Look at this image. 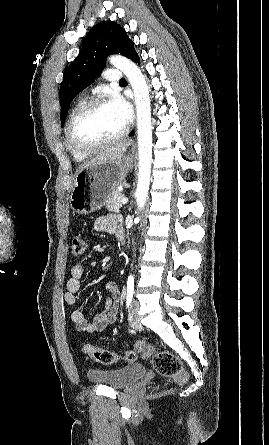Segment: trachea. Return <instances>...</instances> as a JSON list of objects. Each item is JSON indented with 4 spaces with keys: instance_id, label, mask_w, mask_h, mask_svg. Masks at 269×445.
Returning a JSON list of instances; mask_svg holds the SVG:
<instances>
[{
    "instance_id": "trachea-1",
    "label": "trachea",
    "mask_w": 269,
    "mask_h": 445,
    "mask_svg": "<svg viewBox=\"0 0 269 445\" xmlns=\"http://www.w3.org/2000/svg\"><path fill=\"white\" fill-rule=\"evenodd\" d=\"M124 82H126V80H125L124 78H122V79L119 81V83H124Z\"/></svg>"
}]
</instances>
